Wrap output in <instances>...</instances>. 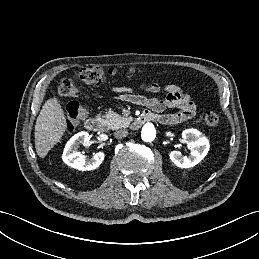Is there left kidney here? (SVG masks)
<instances>
[{"mask_svg":"<svg viewBox=\"0 0 259 259\" xmlns=\"http://www.w3.org/2000/svg\"><path fill=\"white\" fill-rule=\"evenodd\" d=\"M182 137L186 140H189L191 147V154L189 157L182 156L179 151H172L169 154L170 160L180 168H191L197 165L209 151V141L206 137L197 129H186L182 132Z\"/></svg>","mask_w":259,"mask_h":259,"instance_id":"left-kidney-1","label":"left kidney"}]
</instances>
